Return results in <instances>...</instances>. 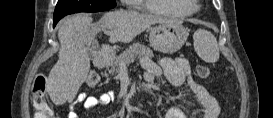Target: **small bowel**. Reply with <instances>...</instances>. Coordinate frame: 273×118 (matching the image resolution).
<instances>
[{
  "instance_id": "small-bowel-1",
  "label": "small bowel",
  "mask_w": 273,
  "mask_h": 118,
  "mask_svg": "<svg viewBox=\"0 0 273 118\" xmlns=\"http://www.w3.org/2000/svg\"><path fill=\"white\" fill-rule=\"evenodd\" d=\"M164 75L174 87H181L186 84L198 102V109L193 115L201 118H217L220 106L217 100L193 77L190 65L186 59H162L158 64L152 65L146 75L145 80L152 82L156 77ZM113 94L105 92L100 95L85 96L80 94L76 102H83V107L87 111H92L99 106L107 105L113 101ZM69 118H78L74 108L71 107ZM164 118H185L184 112L178 107H170L164 113Z\"/></svg>"
}]
</instances>
